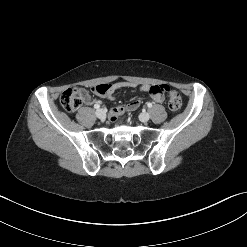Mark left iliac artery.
<instances>
[{
    "instance_id": "1",
    "label": "left iliac artery",
    "mask_w": 247,
    "mask_h": 247,
    "mask_svg": "<svg viewBox=\"0 0 247 247\" xmlns=\"http://www.w3.org/2000/svg\"><path fill=\"white\" fill-rule=\"evenodd\" d=\"M147 106L149 107V108H151L152 107V103H147Z\"/></svg>"
}]
</instances>
